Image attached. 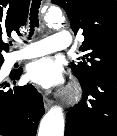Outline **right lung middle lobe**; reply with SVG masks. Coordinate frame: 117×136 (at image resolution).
I'll use <instances>...</instances> for the list:
<instances>
[{
  "instance_id": "dd1d6c3e",
  "label": "right lung middle lobe",
  "mask_w": 117,
  "mask_h": 136,
  "mask_svg": "<svg viewBox=\"0 0 117 136\" xmlns=\"http://www.w3.org/2000/svg\"><path fill=\"white\" fill-rule=\"evenodd\" d=\"M3 61H4V59H1V60H0V64L3 63Z\"/></svg>"
}]
</instances>
